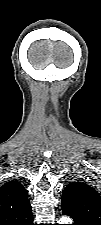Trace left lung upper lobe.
I'll return each instance as SVG.
<instances>
[{
    "label": "left lung upper lobe",
    "mask_w": 101,
    "mask_h": 225,
    "mask_svg": "<svg viewBox=\"0 0 101 225\" xmlns=\"http://www.w3.org/2000/svg\"><path fill=\"white\" fill-rule=\"evenodd\" d=\"M62 212L71 218L85 219L101 225V197L91 186L72 182L63 190Z\"/></svg>",
    "instance_id": "left-lung-upper-lobe-1"
}]
</instances>
